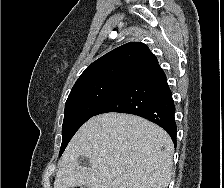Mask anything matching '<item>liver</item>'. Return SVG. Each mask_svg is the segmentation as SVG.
I'll list each match as a JSON object with an SVG mask.
<instances>
[{"label":"liver","mask_w":224,"mask_h":188,"mask_svg":"<svg viewBox=\"0 0 224 188\" xmlns=\"http://www.w3.org/2000/svg\"><path fill=\"white\" fill-rule=\"evenodd\" d=\"M173 152L167 132L144 118L124 113L97 115L68 144L54 188H167ZM80 156L87 157L90 165L81 164Z\"/></svg>","instance_id":"6515ba94"}]
</instances>
